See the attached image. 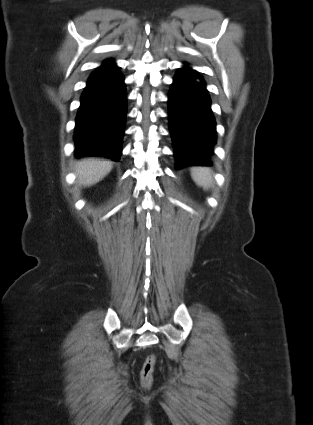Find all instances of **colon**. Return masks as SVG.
<instances>
[{"label": "colon", "mask_w": 313, "mask_h": 425, "mask_svg": "<svg viewBox=\"0 0 313 425\" xmlns=\"http://www.w3.org/2000/svg\"><path fill=\"white\" fill-rule=\"evenodd\" d=\"M155 365L156 357L154 355L146 358L140 372V380L144 388H149L152 385Z\"/></svg>", "instance_id": "colon-1"}]
</instances>
